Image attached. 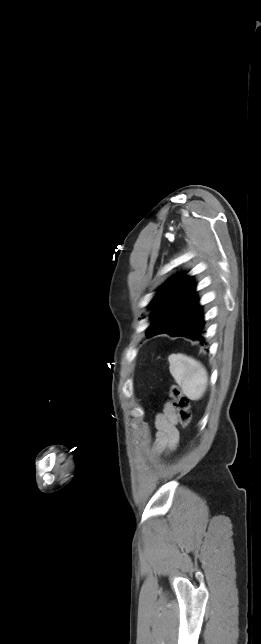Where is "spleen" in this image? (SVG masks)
I'll return each instance as SVG.
<instances>
[{"label":"spleen","mask_w":261,"mask_h":644,"mask_svg":"<svg viewBox=\"0 0 261 644\" xmlns=\"http://www.w3.org/2000/svg\"><path fill=\"white\" fill-rule=\"evenodd\" d=\"M170 374L182 392L191 400H199L208 385L205 367L197 360L184 354H171L168 357Z\"/></svg>","instance_id":"spleen-1"}]
</instances>
